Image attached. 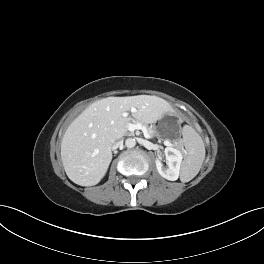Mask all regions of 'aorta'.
I'll return each mask as SVG.
<instances>
[{"mask_svg":"<svg viewBox=\"0 0 264 264\" xmlns=\"http://www.w3.org/2000/svg\"><path fill=\"white\" fill-rule=\"evenodd\" d=\"M136 145V140L134 138H127L125 141V146L127 148H133Z\"/></svg>","mask_w":264,"mask_h":264,"instance_id":"762f6f07","label":"aorta"}]
</instances>
